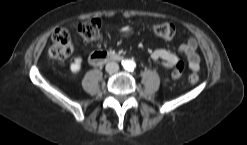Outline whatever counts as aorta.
<instances>
[{"mask_svg": "<svg viewBox=\"0 0 247 145\" xmlns=\"http://www.w3.org/2000/svg\"><path fill=\"white\" fill-rule=\"evenodd\" d=\"M135 67H136V63H135V61H133V60H126V61L124 62V68H125L126 70L131 71V70H134Z\"/></svg>", "mask_w": 247, "mask_h": 145, "instance_id": "obj_1", "label": "aorta"}]
</instances>
